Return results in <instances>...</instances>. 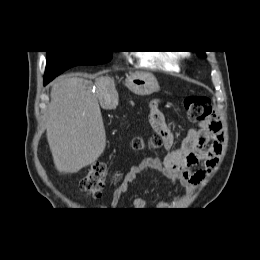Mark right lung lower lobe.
I'll use <instances>...</instances> for the list:
<instances>
[{"instance_id":"right-lung-lower-lobe-1","label":"right lung lower lobe","mask_w":260,"mask_h":260,"mask_svg":"<svg viewBox=\"0 0 260 260\" xmlns=\"http://www.w3.org/2000/svg\"><path fill=\"white\" fill-rule=\"evenodd\" d=\"M50 80L44 79V85H46Z\"/></svg>"}]
</instances>
